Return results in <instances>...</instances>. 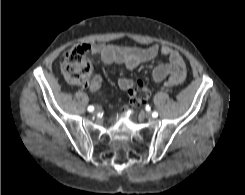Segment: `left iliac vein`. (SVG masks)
<instances>
[{
  "mask_svg": "<svg viewBox=\"0 0 245 195\" xmlns=\"http://www.w3.org/2000/svg\"><path fill=\"white\" fill-rule=\"evenodd\" d=\"M146 117L150 119L152 117V115L150 113H147Z\"/></svg>",
  "mask_w": 245,
  "mask_h": 195,
  "instance_id": "left-iliac-vein-1",
  "label": "left iliac vein"
}]
</instances>
